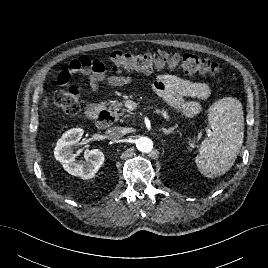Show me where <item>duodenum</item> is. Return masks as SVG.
I'll return each instance as SVG.
<instances>
[{
    "mask_svg": "<svg viewBox=\"0 0 268 268\" xmlns=\"http://www.w3.org/2000/svg\"><path fill=\"white\" fill-rule=\"evenodd\" d=\"M87 117L94 120L97 127L101 129L109 128L114 120L112 113L101 105L89 106L87 109Z\"/></svg>",
    "mask_w": 268,
    "mask_h": 268,
    "instance_id": "duodenum-1",
    "label": "duodenum"
}]
</instances>
